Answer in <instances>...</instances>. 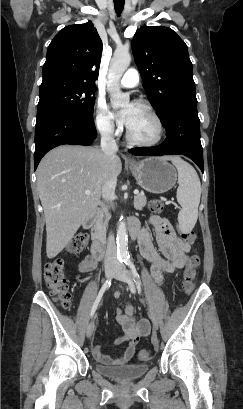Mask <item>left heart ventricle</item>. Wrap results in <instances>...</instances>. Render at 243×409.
Masks as SVG:
<instances>
[{
	"mask_svg": "<svg viewBox=\"0 0 243 409\" xmlns=\"http://www.w3.org/2000/svg\"><path fill=\"white\" fill-rule=\"evenodd\" d=\"M128 128L134 137L143 140H151L157 134L156 124L149 112L136 104L132 105V115Z\"/></svg>",
	"mask_w": 243,
	"mask_h": 409,
	"instance_id": "left-heart-ventricle-1",
	"label": "left heart ventricle"
}]
</instances>
